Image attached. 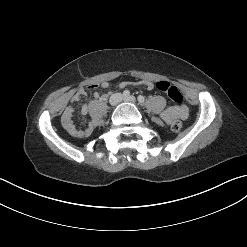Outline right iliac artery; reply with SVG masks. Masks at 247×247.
<instances>
[{
  "instance_id": "right-iliac-artery-1",
  "label": "right iliac artery",
  "mask_w": 247,
  "mask_h": 247,
  "mask_svg": "<svg viewBox=\"0 0 247 247\" xmlns=\"http://www.w3.org/2000/svg\"><path fill=\"white\" fill-rule=\"evenodd\" d=\"M123 96H124V97H129V96H130V92H129L128 90H125V91L123 92Z\"/></svg>"
}]
</instances>
